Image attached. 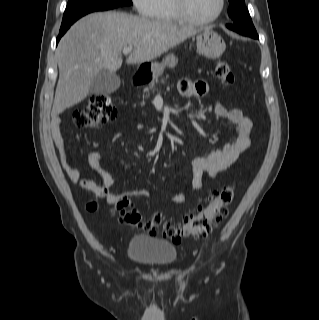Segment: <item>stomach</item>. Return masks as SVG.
<instances>
[{"mask_svg":"<svg viewBox=\"0 0 319 320\" xmlns=\"http://www.w3.org/2000/svg\"><path fill=\"white\" fill-rule=\"evenodd\" d=\"M197 51L209 59L219 58L226 49V44L222 37L212 29H205L197 35ZM178 59L173 55H167L162 63H151L150 72L153 79H157L164 71L165 67L174 68Z\"/></svg>","mask_w":319,"mask_h":320,"instance_id":"1","label":"stomach"}]
</instances>
